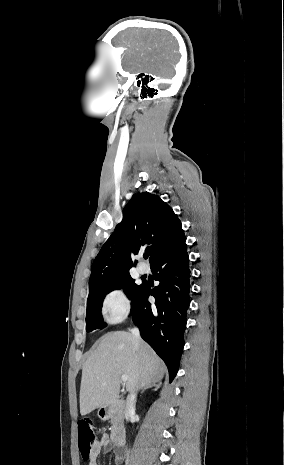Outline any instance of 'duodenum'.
<instances>
[{"mask_svg": "<svg viewBox=\"0 0 284 465\" xmlns=\"http://www.w3.org/2000/svg\"><path fill=\"white\" fill-rule=\"evenodd\" d=\"M126 405L127 403L125 400L116 399L112 401L109 406L101 408L99 412V417L101 419L110 417H116V419H118L120 414H122L125 411ZM125 434L126 430L124 425L121 422L116 421L111 430L110 435L113 444L116 446H122L125 443Z\"/></svg>", "mask_w": 284, "mask_h": 465, "instance_id": "duodenum-1", "label": "duodenum"}]
</instances>
